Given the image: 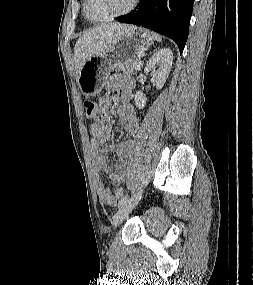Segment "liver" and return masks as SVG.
Segmentation results:
<instances>
[{"label": "liver", "mask_w": 253, "mask_h": 285, "mask_svg": "<svg viewBox=\"0 0 253 285\" xmlns=\"http://www.w3.org/2000/svg\"><path fill=\"white\" fill-rule=\"evenodd\" d=\"M131 28H133L132 25L111 23L85 31L77 40L74 48L76 74L78 75L90 57L103 51Z\"/></svg>", "instance_id": "obj_1"}]
</instances>
